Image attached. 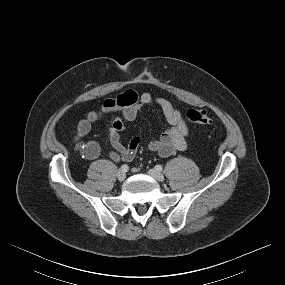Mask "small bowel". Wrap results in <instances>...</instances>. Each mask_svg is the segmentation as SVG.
<instances>
[{"mask_svg":"<svg viewBox=\"0 0 285 285\" xmlns=\"http://www.w3.org/2000/svg\"><path fill=\"white\" fill-rule=\"evenodd\" d=\"M157 106L164 114L168 127L157 138L149 142L148 148L161 157H169L177 151L187 148L189 128L181 112L163 97H154L149 93H137L127 90L116 98L107 99L97 110L87 113L77 126L75 147L88 160L96 159L100 154V147L94 141L82 139L90 132L92 125L105 115H112L113 121L109 126V141L113 150L109 156L114 161H131L137 154L140 144L139 137H133L127 147L120 141V133L125 129L123 120L133 121L137 112L143 106ZM120 113V115H119Z\"/></svg>","mask_w":285,"mask_h":285,"instance_id":"c3829d8e","label":"small bowel"}]
</instances>
